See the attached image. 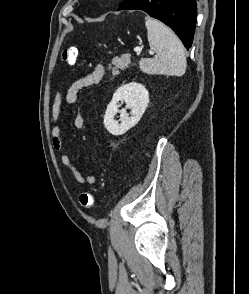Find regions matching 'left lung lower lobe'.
<instances>
[{
	"mask_svg": "<svg viewBox=\"0 0 249 294\" xmlns=\"http://www.w3.org/2000/svg\"><path fill=\"white\" fill-rule=\"evenodd\" d=\"M140 9L168 25L189 49L196 24V0H126L118 10Z\"/></svg>",
	"mask_w": 249,
	"mask_h": 294,
	"instance_id": "1",
	"label": "left lung lower lobe"
}]
</instances>
